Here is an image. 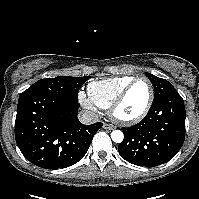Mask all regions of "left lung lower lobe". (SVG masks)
I'll return each mask as SVG.
<instances>
[{"mask_svg": "<svg viewBox=\"0 0 199 199\" xmlns=\"http://www.w3.org/2000/svg\"><path fill=\"white\" fill-rule=\"evenodd\" d=\"M185 118L180 95L153 102L141 122L122 128L124 140L118 145L119 154L137 166L154 167L166 163L183 145Z\"/></svg>", "mask_w": 199, "mask_h": 199, "instance_id": "obj_1", "label": "left lung lower lobe"}]
</instances>
